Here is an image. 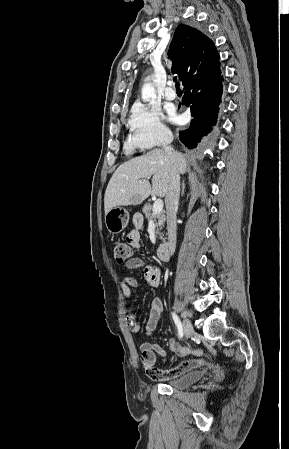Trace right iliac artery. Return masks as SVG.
Instances as JSON below:
<instances>
[{
  "label": "right iliac artery",
  "mask_w": 289,
  "mask_h": 449,
  "mask_svg": "<svg viewBox=\"0 0 289 449\" xmlns=\"http://www.w3.org/2000/svg\"><path fill=\"white\" fill-rule=\"evenodd\" d=\"M172 318H173V320H174V322H175V324L177 326L178 335H179L180 338H182L183 335H184L182 323H181L180 319L178 318V316L175 313H172Z\"/></svg>",
  "instance_id": "82829eb1"
}]
</instances>
